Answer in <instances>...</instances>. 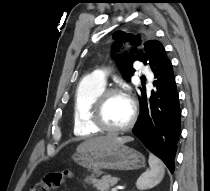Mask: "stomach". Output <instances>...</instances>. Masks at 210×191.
<instances>
[{
  "label": "stomach",
  "instance_id": "obj_1",
  "mask_svg": "<svg viewBox=\"0 0 210 191\" xmlns=\"http://www.w3.org/2000/svg\"><path fill=\"white\" fill-rule=\"evenodd\" d=\"M73 159L80 166L93 172H98L102 169L138 170L145 166L144 156L137 150L124 144L93 150H77L73 155Z\"/></svg>",
  "mask_w": 210,
  "mask_h": 191
}]
</instances>
